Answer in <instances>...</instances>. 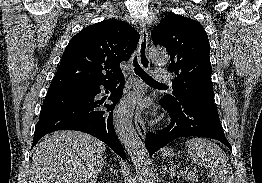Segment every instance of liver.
I'll return each instance as SVG.
<instances>
[{"instance_id": "liver-1", "label": "liver", "mask_w": 262, "mask_h": 183, "mask_svg": "<svg viewBox=\"0 0 262 183\" xmlns=\"http://www.w3.org/2000/svg\"><path fill=\"white\" fill-rule=\"evenodd\" d=\"M105 144L78 131H56L34 151L29 183H95Z\"/></svg>"}]
</instances>
